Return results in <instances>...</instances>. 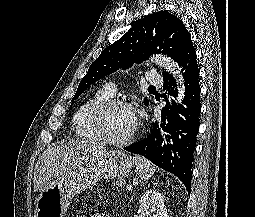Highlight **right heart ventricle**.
Instances as JSON below:
<instances>
[{
    "label": "right heart ventricle",
    "mask_w": 255,
    "mask_h": 217,
    "mask_svg": "<svg viewBox=\"0 0 255 217\" xmlns=\"http://www.w3.org/2000/svg\"><path fill=\"white\" fill-rule=\"evenodd\" d=\"M112 98L106 88L97 90L91 97L84 101L72 117V127L76 135L85 140H101L92 123L94 110L105 101Z\"/></svg>",
    "instance_id": "1"
}]
</instances>
